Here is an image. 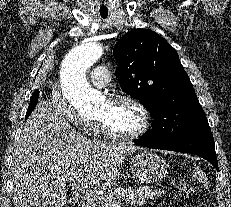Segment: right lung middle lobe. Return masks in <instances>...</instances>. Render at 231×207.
Segmentation results:
<instances>
[{"mask_svg":"<svg viewBox=\"0 0 231 207\" xmlns=\"http://www.w3.org/2000/svg\"><path fill=\"white\" fill-rule=\"evenodd\" d=\"M37 93L39 95V90H36L33 94Z\"/></svg>","mask_w":231,"mask_h":207,"instance_id":"dd1d6c3e","label":"right lung middle lobe"}]
</instances>
